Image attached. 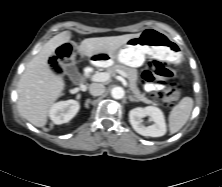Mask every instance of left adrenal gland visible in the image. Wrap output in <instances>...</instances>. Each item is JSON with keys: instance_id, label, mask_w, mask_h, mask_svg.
Returning a JSON list of instances; mask_svg holds the SVG:
<instances>
[{"instance_id": "1", "label": "left adrenal gland", "mask_w": 222, "mask_h": 187, "mask_svg": "<svg viewBox=\"0 0 222 187\" xmlns=\"http://www.w3.org/2000/svg\"><path fill=\"white\" fill-rule=\"evenodd\" d=\"M129 100L131 101V102H138V100L137 99H135L133 96H131V95H129Z\"/></svg>"}]
</instances>
